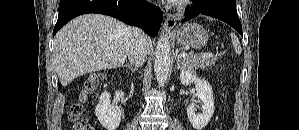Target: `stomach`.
<instances>
[{"instance_id":"0dacf381","label":"stomach","mask_w":299,"mask_h":130,"mask_svg":"<svg viewBox=\"0 0 299 130\" xmlns=\"http://www.w3.org/2000/svg\"><path fill=\"white\" fill-rule=\"evenodd\" d=\"M176 42L185 47L200 49L206 45L209 35L203 26L197 23H186L172 34Z\"/></svg>"}]
</instances>
